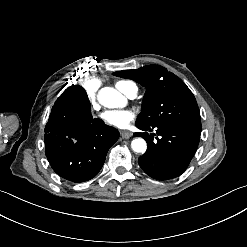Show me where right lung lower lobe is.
<instances>
[{"mask_svg": "<svg viewBox=\"0 0 247 247\" xmlns=\"http://www.w3.org/2000/svg\"><path fill=\"white\" fill-rule=\"evenodd\" d=\"M119 132L65 92L56 100L45 127V154L62 178L84 182L101 170Z\"/></svg>", "mask_w": 247, "mask_h": 247, "instance_id": "98d812e1", "label": "right lung lower lobe"}]
</instances>
